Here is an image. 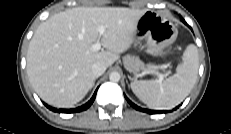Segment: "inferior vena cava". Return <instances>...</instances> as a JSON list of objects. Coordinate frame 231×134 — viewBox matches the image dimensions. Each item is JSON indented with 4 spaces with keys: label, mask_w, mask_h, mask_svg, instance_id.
Instances as JSON below:
<instances>
[{
    "label": "inferior vena cava",
    "mask_w": 231,
    "mask_h": 134,
    "mask_svg": "<svg viewBox=\"0 0 231 134\" xmlns=\"http://www.w3.org/2000/svg\"><path fill=\"white\" fill-rule=\"evenodd\" d=\"M106 70V66L103 63L97 62L92 65V72L94 76H101Z\"/></svg>",
    "instance_id": "obj_1"
}]
</instances>
